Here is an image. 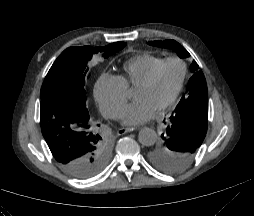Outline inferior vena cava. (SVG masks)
I'll return each instance as SVG.
<instances>
[{"label":"inferior vena cava","instance_id":"602c4592","mask_svg":"<svg viewBox=\"0 0 254 216\" xmlns=\"http://www.w3.org/2000/svg\"><path fill=\"white\" fill-rule=\"evenodd\" d=\"M101 113L105 118H115V114L112 111L102 110Z\"/></svg>","mask_w":254,"mask_h":216}]
</instances>
